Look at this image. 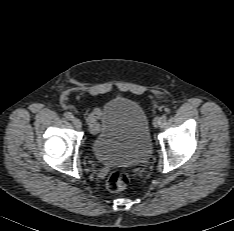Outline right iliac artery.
<instances>
[{"mask_svg":"<svg viewBox=\"0 0 234 231\" xmlns=\"http://www.w3.org/2000/svg\"><path fill=\"white\" fill-rule=\"evenodd\" d=\"M65 117L68 119V120H72L74 117H73V115H72V113H70V112H65Z\"/></svg>","mask_w":234,"mask_h":231,"instance_id":"obj_1","label":"right iliac artery"}]
</instances>
